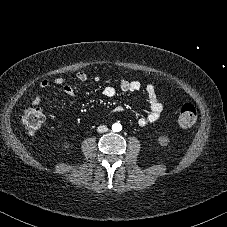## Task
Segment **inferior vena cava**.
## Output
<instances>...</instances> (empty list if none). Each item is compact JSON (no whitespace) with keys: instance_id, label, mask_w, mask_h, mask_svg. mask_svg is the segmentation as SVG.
Instances as JSON below:
<instances>
[{"instance_id":"obj_1","label":"inferior vena cava","mask_w":227,"mask_h":227,"mask_svg":"<svg viewBox=\"0 0 227 227\" xmlns=\"http://www.w3.org/2000/svg\"><path fill=\"white\" fill-rule=\"evenodd\" d=\"M97 131L99 133H104V132H107L108 131V128H107L106 125H100V126H98Z\"/></svg>"}]
</instances>
